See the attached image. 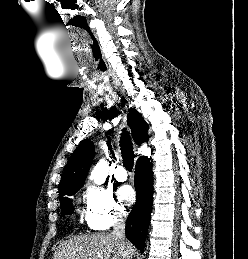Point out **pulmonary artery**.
Instances as JSON below:
<instances>
[{
    "mask_svg": "<svg viewBox=\"0 0 248 259\" xmlns=\"http://www.w3.org/2000/svg\"><path fill=\"white\" fill-rule=\"evenodd\" d=\"M114 178L118 182H124L127 179V172L123 166H118L114 172Z\"/></svg>",
    "mask_w": 248,
    "mask_h": 259,
    "instance_id": "1",
    "label": "pulmonary artery"
}]
</instances>
